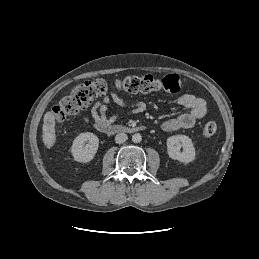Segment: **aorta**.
I'll use <instances>...</instances> for the list:
<instances>
[{"label":"aorta","instance_id":"obj_1","mask_svg":"<svg viewBox=\"0 0 259 259\" xmlns=\"http://www.w3.org/2000/svg\"><path fill=\"white\" fill-rule=\"evenodd\" d=\"M142 140V136L139 134V133H135L133 136H132V141L134 143H140Z\"/></svg>","mask_w":259,"mask_h":259}]
</instances>
